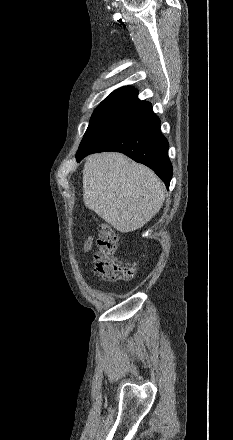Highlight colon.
Segmentation results:
<instances>
[{
	"instance_id": "obj_1",
	"label": "colon",
	"mask_w": 233,
	"mask_h": 440,
	"mask_svg": "<svg viewBox=\"0 0 233 440\" xmlns=\"http://www.w3.org/2000/svg\"><path fill=\"white\" fill-rule=\"evenodd\" d=\"M94 254L95 271L105 280L120 281L133 277L135 265L117 257L118 237L114 229L106 223L99 226Z\"/></svg>"
}]
</instances>
